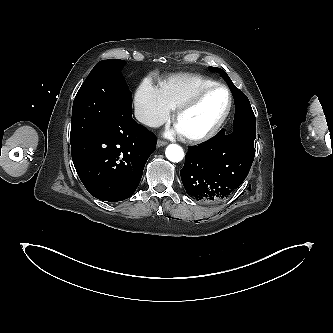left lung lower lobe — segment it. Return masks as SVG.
<instances>
[{"label": "left lung lower lobe", "instance_id": "left-lung-lower-lobe-1", "mask_svg": "<svg viewBox=\"0 0 333 333\" xmlns=\"http://www.w3.org/2000/svg\"><path fill=\"white\" fill-rule=\"evenodd\" d=\"M236 95H234L235 97ZM255 156L253 140L234 129L194 148L180 171L186 192L204 203H217L232 194L247 177Z\"/></svg>", "mask_w": 333, "mask_h": 333}]
</instances>
